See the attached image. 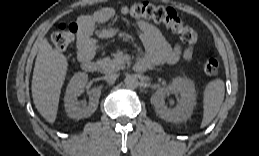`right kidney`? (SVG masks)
Segmentation results:
<instances>
[{"mask_svg":"<svg viewBox=\"0 0 259 156\" xmlns=\"http://www.w3.org/2000/svg\"><path fill=\"white\" fill-rule=\"evenodd\" d=\"M88 80V75L84 72H78L71 78L65 98L64 105L67 115L74 119H81L91 116L97 109L101 90L92 88L89 91V103H80L78 97L84 92Z\"/></svg>","mask_w":259,"mask_h":156,"instance_id":"ca27d5eb","label":"right kidney"}]
</instances>
